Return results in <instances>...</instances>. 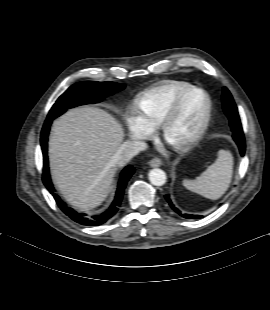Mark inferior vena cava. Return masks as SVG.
<instances>
[{"label":"inferior vena cava","mask_w":270,"mask_h":310,"mask_svg":"<svg viewBox=\"0 0 270 310\" xmlns=\"http://www.w3.org/2000/svg\"><path fill=\"white\" fill-rule=\"evenodd\" d=\"M147 147L145 142L142 141H125L112 157V162L118 166H124L135 155L145 150Z\"/></svg>","instance_id":"obj_1"}]
</instances>
